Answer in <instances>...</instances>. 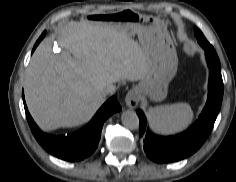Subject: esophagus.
<instances>
[{
  "label": "esophagus",
  "instance_id": "34e87169",
  "mask_svg": "<svg viewBox=\"0 0 236 182\" xmlns=\"http://www.w3.org/2000/svg\"><path fill=\"white\" fill-rule=\"evenodd\" d=\"M125 103L129 108H136L139 103V97L136 90H131L127 93Z\"/></svg>",
  "mask_w": 236,
  "mask_h": 182
}]
</instances>
